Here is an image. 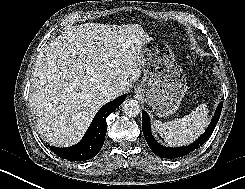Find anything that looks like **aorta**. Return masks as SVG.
<instances>
[{
	"instance_id": "1",
	"label": "aorta",
	"mask_w": 245,
	"mask_h": 189,
	"mask_svg": "<svg viewBox=\"0 0 245 189\" xmlns=\"http://www.w3.org/2000/svg\"><path fill=\"white\" fill-rule=\"evenodd\" d=\"M123 112L129 117H136L140 113V106L134 99H127L122 106Z\"/></svg>"
}]
</instances>
